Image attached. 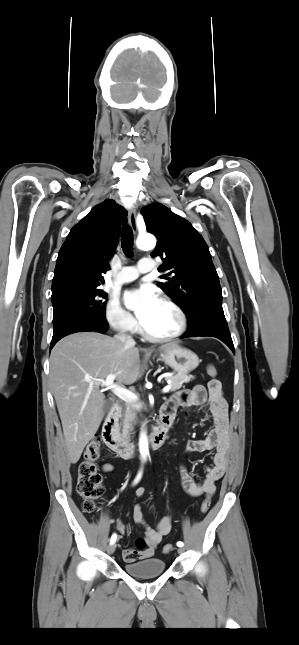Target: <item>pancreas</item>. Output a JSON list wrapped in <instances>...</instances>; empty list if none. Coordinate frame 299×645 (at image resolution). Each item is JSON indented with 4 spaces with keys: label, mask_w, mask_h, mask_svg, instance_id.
I'll use <instances>...</instances> for the list:
<instances>
[{
    "label": "pancreas",
    "mask_w": 299,
    "mask_h": 645,
    "mask_svg": "<svg viewBox=\"0 0 299 645\" xmlns=\"http://www.w3.org/2000/svg\"><path fill=\"white\" fill-rule=\"evenodd\" d=\"M193 378L194 377L191 375L178 373L174 376L167 377L166 380L171 381L170 391L173 392L180 389L183 383H188ZM126 407H127V413H126V419L123 426V436L128 438L130 435V431L133 429V423H136V408L134 403H126Z\"/></svg>",
    "instance_id": "pancreas-1"
}]
</instances>
